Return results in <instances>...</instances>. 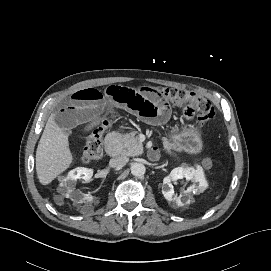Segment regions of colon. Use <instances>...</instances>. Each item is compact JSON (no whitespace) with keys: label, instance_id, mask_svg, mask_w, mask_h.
<instances>
[{"label":"colon","instance_id":"1","mask_svg":"<svg viewBox=\"0 0 271 271\" xmlns=\"http://www.w3.org/2000/svg\"><path fill=\"white\" fill-rule=\"evenodd\" d=\"M159 92L165 100L183 107L188 120H197L201 124H206L214 118L215 112L211 102L195 93L174 88H161ZM109 123L110 117L103 119L101 124L89 134L82 154L84 163L94 162L102 156V137Z\"/></svg>","mask_w":271,"mask_h":271}]
</instances>
